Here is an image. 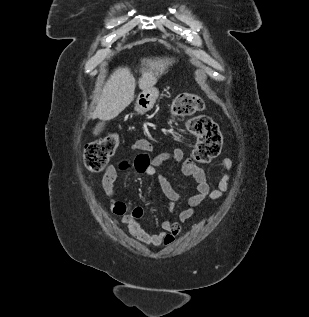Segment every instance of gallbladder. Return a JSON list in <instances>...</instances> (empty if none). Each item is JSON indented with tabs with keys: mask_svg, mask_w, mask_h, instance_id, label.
<instances>
[{
	"mask_svg": "<svg viewBox=\"0 0 309 317\" xmlns=\"http://www.w3.org/2000/svg\"><path fill=\"white\" fill-rule=\"evenodd\" d=\"M105 127V122H99L93 130L94 135H98Z\"/></svg>",
	"mask_w": 309,
	"mask_h": 317,
	"instance_id": "obj_1",
	"label": "gallbladder"
}]
</instances>
